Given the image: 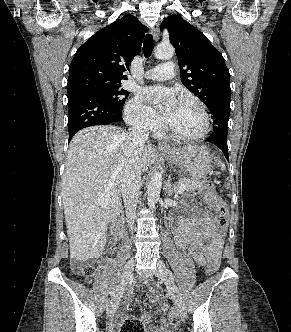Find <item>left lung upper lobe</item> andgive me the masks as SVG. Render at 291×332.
<instances>
[{"label":"left lung upper lobe","instance_id":"obj_1","mask_svg":"<svg viewBox=\"0 0 291 332\" xmlns=\"http://www.w3.org/2000/svg\"><path fill=\"white\" fill-rule=\"evenodd\" d=\"M179 61L182 84L212 110L220 101L230 102L229 70L222 54L210 41L179 15L162 22Z\"/></svg>","mask_w":291,"mask_h":332}]
</instances>
